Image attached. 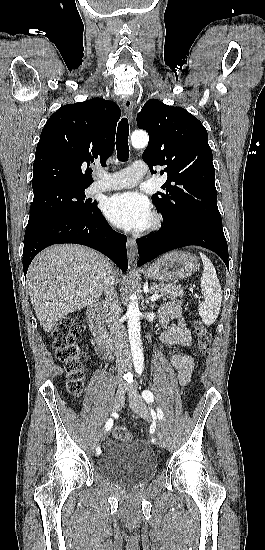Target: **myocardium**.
Listing matches in <instances>:
<instances>
[{
    "label": "myocardium",
    "instance_id": "myocardium-1",
    "mask_svg": "<svg viewBox=\"0 0 265 550\" xmlns=\"http://www.w3.org/2000/svg\"><path fill=\"white\" fill-rule=\"evenodd\" d=\"M160 225H161V217L159 215L155 214L150 219V222L147 225V230L148 231L156 230L157 228L160 227Z\"/></svg>",
    "mask_w": 265,
    "mask_h": 550
}]
</instances>
